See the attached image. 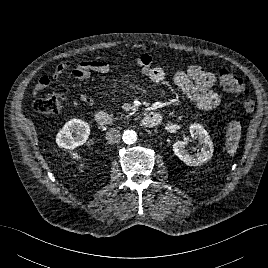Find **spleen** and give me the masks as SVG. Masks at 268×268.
Segmentation results:
<instances>
[{"mask_svg":"<svg viewBox=\"0 0 268 268\" xmlns=\"http://www.w3.org/2000/svg\"><path fill=\"white\" fill-rule=\"evenodd\" d=\"M241 137V125L238 121H233L228 126L226 148L230 155H234L238 148L239 140Z\"/></svg>","mask_w":268,"mask_h":268,"instance_id":"obj_1","label":"spleen"}]
</instances>
